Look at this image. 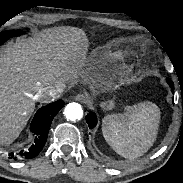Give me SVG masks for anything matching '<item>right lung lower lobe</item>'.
Instances as JSON below:
<instances>
[{"instance_id":"98d812e1","label":"right lung lower lobe","mask_w":183,"mask_h":183,"mask_svg":"<svg viewBox=\"0 0 183 183\" xmlns=\"http://www.w3.org/2000/svg\"><path fill=\"white\" fill-rule=\"evenodd\" d=\"M63 106L64 102L59 100L41 107L36 112L30 125L31 132L36 135L35 144L29 148V152L21 151V156L28 159L33 158L40 153L46 143L51 122Z\"/></svg>"}]
</instances>
